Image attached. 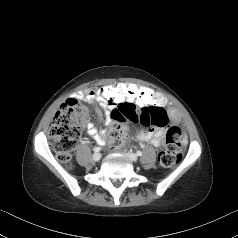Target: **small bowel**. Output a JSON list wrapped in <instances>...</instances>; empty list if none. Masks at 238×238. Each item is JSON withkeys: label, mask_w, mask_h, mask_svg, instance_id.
<instances>
[{"label": "small bowel", "mask_w": 238, "mask_h": 238, "mask_svg": "<svg viewBox=\"0 0 238 238\" xmlns=\"http://www.w3.org/2000/svg\"><path fill=\"white\" fill-rule=\"evenodd\" d=\"M97 90L88 91L85 93H78L74 98H70L68 100H74V101L84 100L87 103H94V102L97 103L99 106V109L97 110L98 115L103 118L104 125L109 126L110 124H112V122H114V120L111 118L112 110L118 108L120 105L124 104L125 102L123 103L103 102L99 99L97 95ZM165 110L167 111L171 122H177L179 120V117H180L179 112L176 109L170 108ZM81 121H82V124L87 129V133L91 137H93L97 142L101 144H104L106 142L105 132L100 130L93 122L89 120V116L86 110H84ZM165 134H166L165 129H161L159 127H153L148 130L138 131L136 133V139L142 142L150 143L156 147H159L164 143Z\"/></svg>", "instance_id": "obj_1"}]
</instances>
